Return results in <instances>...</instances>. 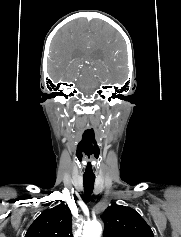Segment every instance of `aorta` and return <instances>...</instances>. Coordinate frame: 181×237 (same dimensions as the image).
<instances>
[{
    "label": "aorta",
    "instance_id": "obj_1",
    "mask_svg": "<svg viewBox=\"0 0 181 237\" xmlns=\"http://www.w3.org/2000/svg\"><path fill=\"white\" fill-rule=\"evenodd\" d=\"M102 226L98 221H92L85 224L82 237H101Z\"/></svg>",
    "mask_w": 181,
    "mask_h": 237
}]
</instances>
